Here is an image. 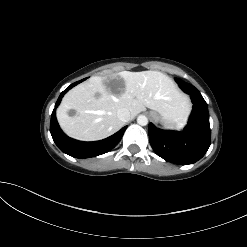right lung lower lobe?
<instances>
[{"instance_id":"right-lung-lower-lobe-1","label":"right lung lower lobe","mask_w":247,"mask_h":247,"mask_svg":"<svg viewBox=\"0 0 247 247\" xmlns=\"http://www.w3.org/2000/svg\"><path fill=\"white\" fill-rule=\"evenodd\" d=\"M83 80L75 82L71 84L67 89H65L60 94L55 104V107L59 105L62 97L69 89H71L76 84L82 82ZM55 111H56V108H54L52 112L51 122H50V133L52 135V138L55 144L58 146V148L62 152L72 157H75V158H90V157H95V156L107 153L119 143V141L121 140L124 134V131L127 128V126L123 127L120 131H118L114 135L104 140L95 141V142H81V141H77L72 138H69L62 132L56 120Z\"/></svg>"}]
</instances>
